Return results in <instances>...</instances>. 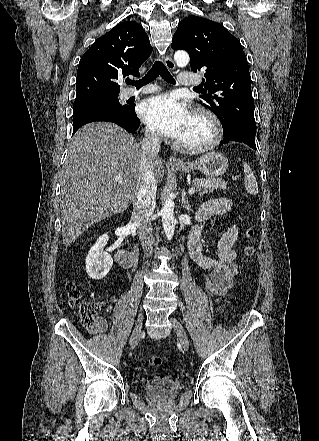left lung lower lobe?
I'll use <instances>...</instances> for the list:
<instances>
[{"label":"left lung lower lobe","instance_id":"0a47b994","mask_svg":"<svg viewBox=\"0 0 319 441\" xmlns=\"http://www.w3.org/2000/svg\"><path fill=\"white\" fill-rule=\"evenodd\" d=\"M255 135L256 127L234 124L227 131L223 132L224 139L220 142V145L236 141L245 143L256 150Z\"/></svg>","mask_w":319,"mask_h":441}]
</instances>
